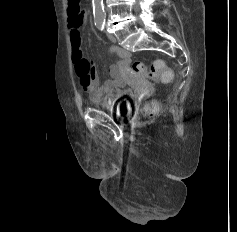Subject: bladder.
<instances>
[{
    "label": "bladder",
    "mask_w": 237,
    "mask_h": 232,
    "mask_svg": "<svg viewBox=\"0 0 237 232\" xmlns=\"http://www.w3.org/2000/svg\"><path fill=\"white\" fill-rule=\"evenodd\" d=\"M102 106L113 111L117 117H124L128 115L132 110L131 91L124 90L122 98L114 104L103 103Z\"/></svg>",
    "instance_id": "31cf9c89"
}]
</instances>
